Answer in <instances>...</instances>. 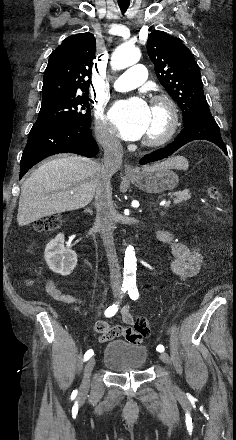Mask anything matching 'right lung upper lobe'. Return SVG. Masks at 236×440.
Masks as SVG:
<instances>
[{"label": "right lung upper lobe", "instance_id": "obj_1", "mask_svg": "<svg viewBox=\"0 0 236 440\" xmlns=\"http://www.w3.org/2000/svg\"><path fill=\"white\" fill-rule=\"evenodd\" d=\"M95 37H67L50 55L43 77L42 105L88 94L95 56Z\"/></svg>", "mask_w": 236, "mask_h": 440}]
</instances>
